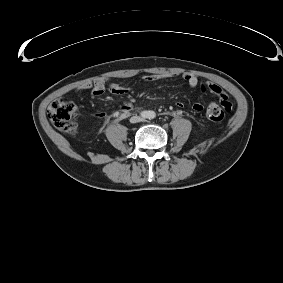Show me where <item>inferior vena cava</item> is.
<instances>
[{
	"label": "inferior vena cava",
	"mask_w": 283,
	"mask_h": 283,
	"mask_svg": "<svg viewBox=\"0 0 283 283\" xmlns=\"http://www.w3.org/2000/svg\"><path fill=\"white\" fill-rule=\"evenodd\" d=\"M141 120V118L140 117H136V121H140Z\"/></svg>",
	"instance_id": "602c4592"
}]
</instances>
